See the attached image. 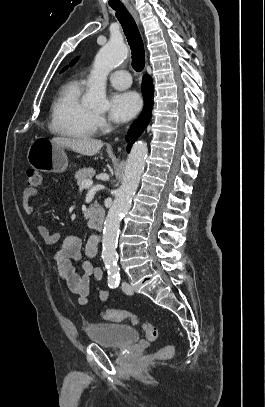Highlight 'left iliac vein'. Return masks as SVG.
Returning a JSON list of instances; mask_svg holds the SVG:
<instances>
[{
  "instance_id": "obj_1",
  "label": "left iliac vein",
  "mask_w": 265,
  "mask_h": 407,
  "mask_svg": "<svg viewBox=\"0 0 265 407\" xmlns=\"http://www.w3.org/2000/svg\"><path fill=\"white\" fill-rule=\"evenodd\" d=\"M122 290L128 295L133 294V289L127 282L122 283Z\"/></svg>"
}]
</instances>
